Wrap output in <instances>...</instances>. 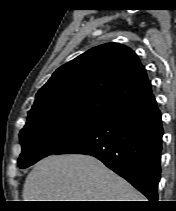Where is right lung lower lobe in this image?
I'll return each mask as SVG.
<instances>
[{"mask_svg": "<svg viewBox=\"0 0 176 211\" xmlns=\"http://www.w3.org/2000/svg\"><path fill=\"white\" fill-rule=\"evenodd\" d=\"M163 128L155 98L110 114L53 154H88L156 202Z\"/></svg>", "mask_w": 176, "mask_h": 211, "instance_id": "1", "label": "right lung lower lobe"}]
</instances>
